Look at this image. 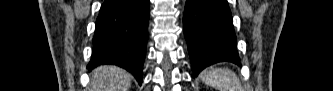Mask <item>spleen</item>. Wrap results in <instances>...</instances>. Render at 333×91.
I'll use <instances>...</instances> for the list:
<instances>
[{
	"instance_id": "obj_1",
	"label": "spleen",
	"mask_w": 333,
	"mask_h": 91,
	"mask_svg": "<svg viewBox=\"0 0 333 91\" xmlns=\"http://www.w3.org/2000/svg\"><path fill=\"white\" fill-rule=\"evenodd\" d=\"M200 77L206 85L217 91H242L238 77L228 68H208Z\"/></svg>"
}]
</instances>
